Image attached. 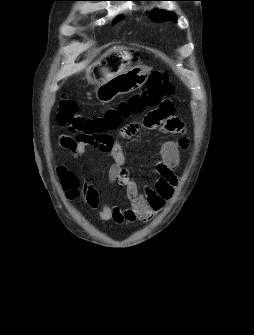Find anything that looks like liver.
I'll return each mask as SVG.
<instances>
[{
    "mask_svg": "<svg viewBox=\"0 0 254 335\" xmlns=\"http://www.w3.org/2000/svg\"><path fill=\"white\" fill-rule=\"evenodd\" d=\"M118 49H120V48H116V47H114V48L110 49V50L106 53V55H107L108 53L116 52Z\"/></svg>",
    "mask_w": 254,
    "mask_h": 335,
    "instance_id": "liver-1",
    "label": "liver"
}]
</instances>
